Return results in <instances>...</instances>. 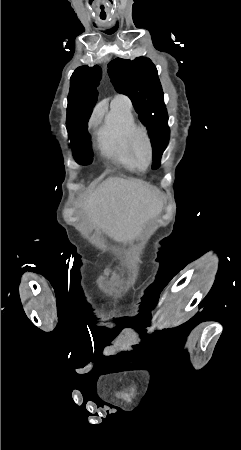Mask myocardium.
I'll return each instance as SVG.
<instances>
[{"label": "myocardium", "instance_id": "f54148a6", "mask_svg": "<svg viewBox=\"0 0 241 450\" xmlns=\"http://www.w3.org/2000/svg\"><path fill=\"white\" fill-rule=\"evenodd\" d=\"M140 119V118H139ZM140 125V124H137ZM143 125V124H142ZM145 125V124H144ZM130 136L127 137L128 149L133 151V162H143V157H147L148 162H155V157H153L154 149L150 146V141L147 137H150V132L145 130L143 127L134 126L131 130ZM152 135V134H151ZM144 143V150L142 152L141 145ZM141 156V157H140Z\"/></svg>", "mask_w": 241, "mask_h": 450}]
</instances>
